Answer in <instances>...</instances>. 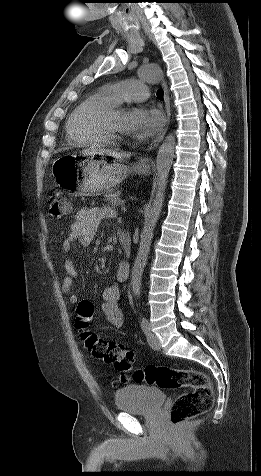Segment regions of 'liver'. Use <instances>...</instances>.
Segmentation results:
<instances>
[{"mask_svg": "<svg viewBox=\"0 0 261 476\" xmlns=\"http://www.w3.org/2000/svg\"><path fill=\"white\" fill-rule=\"evenodd\" d=\"M82 153H85V154H98V155H101V156H110L116 160H123L124 158H128L129 155H126L125 153H120V152H117V151H114V150H110V149H104V148H100L98 146H91L90 148H87L85 150L82 151Z\"/></svg>", "mask_w": 261, "mask_h": 476, "instance_id": "liver-1", "label": "liver"}]
</instances>
